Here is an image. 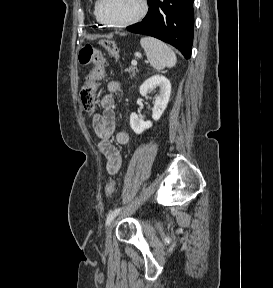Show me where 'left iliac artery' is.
<instances>
[{"instance_id": "obj_1", "label": "left iliac artery", "mask_w": 273, "mask_h": 288, "mask_svg": "<svg viewBox=\"0 0 273 288\" xmlns=\"http://www.w3.org/2000/svg\"><path fill=\"white\" fill-rule=\"evenodd\" d=\"M145 189V186L143 188V191ZM122 208H117L114 211H112L106 219V226L110 224V222L119 214V212L121 211Z\"/></svg>"}]
</instances>
